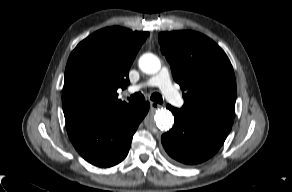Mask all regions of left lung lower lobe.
<instances>
[{
    "label": "left lung lower lobe",
    "instance_id": "0a47b994",
    "mask_svg": "<svg viewBox=\"0 0 292 192\" xmlns=\"http://www.w3.org/2000/svg\"><path fill=\"white\" fill-rule=\"evenodd\" d=\"M175 118L171 130L162 135L164 149L181 165H194L212 157L222 146L231 126L184 118L177 108L168 105Z\"/></svg>",
    "mask_w": 292,
    "mask_h": 192
}]
</instances>
